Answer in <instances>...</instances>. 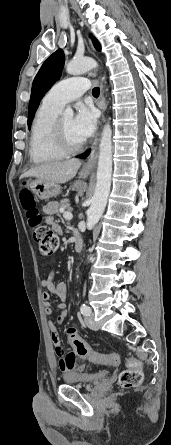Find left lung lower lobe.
<instances>
[{
	"label": "left lung lower lobe",
	"mask_w": 171,
	"mask_h": 445,
	"mask_svg": "<svg viewBox=\"0 0 171 445\" xmlns=\"http://www.w3.org/2000/svg\"><path fill=\"white\" fill-rule=\"evenodd\" d=\"M89 153H90V149L87 150L86 152H84L83 154L78 155L77 157L83 159V158L87 157Z\"/></svg>",
	"instance_id": "left-lung-lower-lobe-1"
}]
</instances>
